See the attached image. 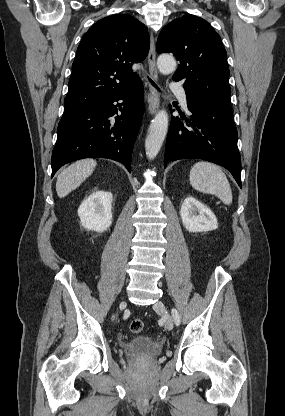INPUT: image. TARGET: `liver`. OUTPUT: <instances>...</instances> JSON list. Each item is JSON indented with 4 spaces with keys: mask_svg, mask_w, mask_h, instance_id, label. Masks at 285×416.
I'll list each match as a JSON object with an SVG mask.
<instances>
[{
    "mask_svg": "<svg viewBox=\"0 0 285 416\" xmlns=\"http://www.w3.org/2000/svg\"><path fill=\"white\" fill-rule=\"evenodd\" d=\"M96 164L95 160H79V162L71 164L69 168H65L57 178V196L65 198L70 192L79 188L82 182H85L86 178L93 174Z\"/></svg>",
    "mask_w": 285,
    "mask_h": 416,
    "instance_id": "1",
    "label": "liver"
}]
</instances>
